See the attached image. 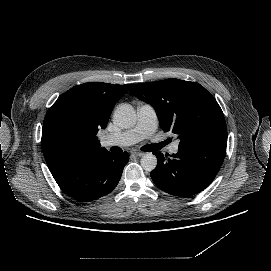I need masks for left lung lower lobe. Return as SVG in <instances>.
Returning <instances> with one entry per match:
<instances>
[{
	"label": "left lung lower lobe",
	"instance_id": "0a47b994",
	"mask_svg": "<svg viewBox=\"0 0 271 271\" xmlns=\"http://www.w3.org/2000/svg\"><path fill=\"white\" fill-rule=\"evenodd\" d=\"M226 152V146L202 144L197 147L179 146L178 153L166 157L155 152L157 167L151 172L155 185L162 191L190 197L204 190L214 180Z\"/></svg>",
	"mask_w": 271,
	"mask_h": 271
}]
</instances>
